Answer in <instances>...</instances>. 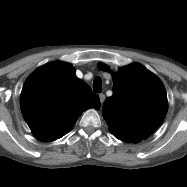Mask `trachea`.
I'll return each instance as SVG.
<instances>
[{
  "mask_svg": "<svg viewBox=\"0 0 187 187\" xmlns=\"http://www.w3.org/2000/svg\"><path fill=\"white\" fill-rule=\"evenodd\" d=\"M93 90L94 92H101L102 91V79L100 77H96L93 81Z\"/></svg>",
  "mask_w": 187,
  "mask_h": 187,
  "instance_id": "3493384b",
  "label": "trachea"
}]
</instances>
